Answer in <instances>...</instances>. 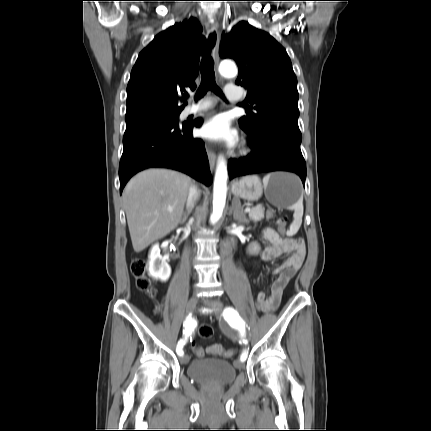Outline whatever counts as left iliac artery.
<instances>
[{"instance_id":"left-iliac-artery-1","label":"left iliac artery","mask_w":431,"mask_h":431,"mask_svg":"<svg viewBox=\"0 0 431 431\" xmlns=\"http://www.w3.org/2000/svg\"><path fill=\"white\" fill-rule=\"evenodd\" d=\"M223 316L232 326H236L241 331L242 334L244 333L245 322L239 316L238 312L234 308L232 307L226 308L223 312ZM246 359H247V352L244 351L241 354L240 360L244 362Z\"/></svg>"}]
</instances>
